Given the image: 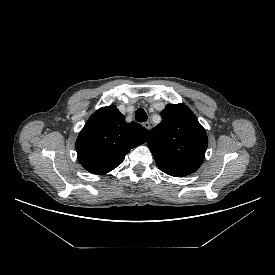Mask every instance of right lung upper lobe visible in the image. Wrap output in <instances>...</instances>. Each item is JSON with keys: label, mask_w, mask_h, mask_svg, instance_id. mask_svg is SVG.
<instances>
[{"label": "right lung upper lobe", "mask_w": 275, "mask_h": 275, "mask_svg": "<svg viewBox=\"0 0 275 275\" xmlns=\"http://www.w3.org/2000/svg\"><path fill=\"white\" fill-rule=\"evenodd\" d=\"M150 131L136 122L126 123L114 106L102 107L86 122L77 141L81 165L93 174H106L119 166L134 147L145 143Z\"/></svg>", "instance_id": "1"}]
</instances>
